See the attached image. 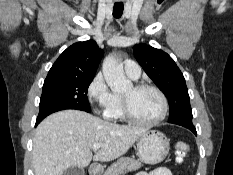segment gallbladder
Here are the masks:
<instances>
[{
  "label": "gallbladder",
  "instance_id": "bac80fb5",
  "mask_svg": "<svg viewBox=\"0 0 233 175\" xmlns=\"http://www.w3.org/2000/svg\"><path fill=\"white\" fill-rule=\"evenodd\" d=\"M63 175H85V171L82 167L73 166L66 169Z\"/></svg>",
  "mask_w": 233,
  "mask_h": 175
}]
</instances>
